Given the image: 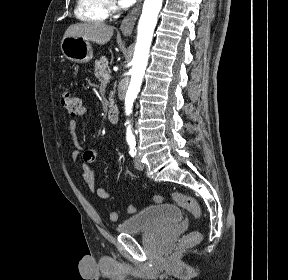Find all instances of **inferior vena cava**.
<instances>
[{
	"label": "inferior vena cava",
	"instance_id": "602c4592",
	"mask_svg": "<svg viewBox=\"0 0 288 280\" xmlns=\"http://www.w3.org/2000/svg\"><path fill=\"white\" fill-rule=\"evenodd\" d=\"M130 79L122 78L120 85H118V94L120 97H127V86H129ZM118 104H125V99H118ZM131 126H136V121H131Z\"/></svg>",
	"mask_w": 288,
	"mask_h": 280
}]
</instances>
